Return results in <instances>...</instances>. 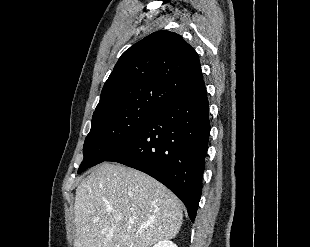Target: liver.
I'll return each mask as SVG.
<instances>
[{"label": "liver", "mask_w": 310, "mask_h": 247, "mask_svg": "<svg viewBox=\"0 0 310 247\" xmlns=\"http://www.w3.org/2000/svg\"><path fill=\"white\" fill-rule=\"evenodd\" d=\"M182 210L151 176L104 162L76 189L74 247H150L178 234Z\"/></svg>", "instance_id": "6515ba94"}]
</instances>
